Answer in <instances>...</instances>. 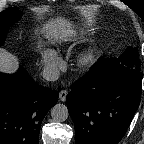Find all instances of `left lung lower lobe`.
<instances>
[{
	"label": "left lung lower lobe",
	"instance_id": "1",
	"mask_svg": "<svg viewBox=\"0 0 144 144\" xmlns=\"http://www.w3.org/2000/svg\"><path fill=\"white\" fill-rule=\"evenodd\" d=\"M108 60L100 58L67 95L75 144H118L139 106L143 74L124 66L108 70Z\"/></svg>",
	"mask_w": 144,
	"mask_h": 144
}]
</instances>
